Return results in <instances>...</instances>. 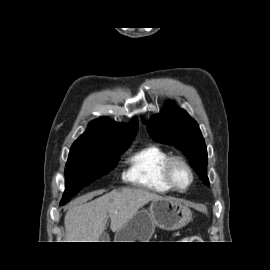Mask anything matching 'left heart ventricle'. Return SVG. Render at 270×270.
Wrapping results in <instances>:
<instances>
[{
    "instance_id": "obj_1",
    "label": "left heart ventricle",
    "mask_w": 270,
    "mask_h": 270,
    "mask_svg": "<svg viewBox=\"0 0 270 270\" xmlns=\"http://www.w3.org/2000/svg\"><path fill=\"white\" fill-rule=\"evenodd\" d=\"M175 180L178 185L184 187L189 182V174L188 172L181 166H177L174 170Z\"/></svg>"
}]
</instances>
